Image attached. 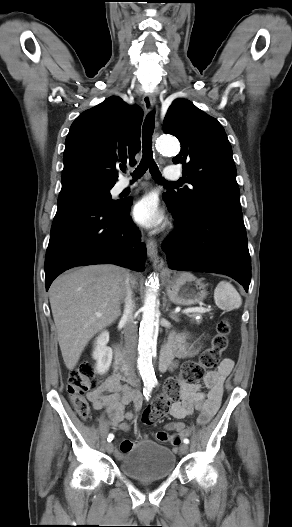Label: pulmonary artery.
Returning a JSON list of instances; mask_svg holds the SVG:
<instances>
[{
    "mask_svg": "<svg viewBox=\"0 0 292 527\" xmlns=\"http://www.w3.org/2000/svg\"><path fill=\"white\" fill-rule=\"evenodd\" d=\"M164 177L167 180H178L180 178V171L175 166H167L164 169ZM134 186L135 184H131L128 180L123 179L117 184V189L123 191Z\"/></svg>",
    "mask_w": 292,
    "mask_h": 527,
    "instance_id": "e3ab8cb5",
    "label": "pulmonary artery"
}]
</instances>
